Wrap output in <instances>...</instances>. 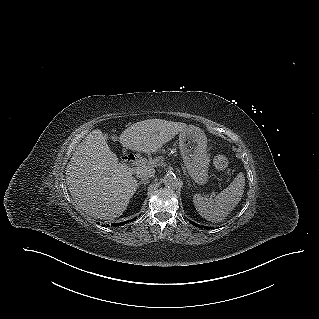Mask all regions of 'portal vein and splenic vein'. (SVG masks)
<instances>
[{"label": "portal vein and splenic vein", "instance_id": "1", "mask_svg": "<svg viewBox=\"0 0 319 319\" xmlns=\"http://www.w3.org/2000/svg\"><path fill=\"white\" fill-rule=\"evenodd\" d=\"M139 163L146 164V163H149V162H147V161H145V162L136 161V164H139Z\"/></svg>", "mask_w": 319, "mask_h": 319}]
</instances>
